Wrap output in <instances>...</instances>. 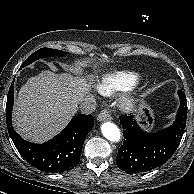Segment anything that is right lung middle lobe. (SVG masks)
<instances>
[{
	"mask_svg": "<svg viewBox=\"0 0 194 194\" xmlns=\"http://www.w3.org/2000/svg\"><path fill=\"white\" fill-rule=\"evenodd\" d=\"M65 56L66 54L61 51V50H56V49H51V48H41L38 51L34 52L31 54L25 62L22 64L21 67H25L26 65L31 64L33 61L39 59V58H44L47 56Z\"/></svg>",
	"mask_w": 194,
	"mask_h": 194,
	"instance_id": "dd1d6c3e",
	"label": "right lung middle lobe"
}]
</instances>
